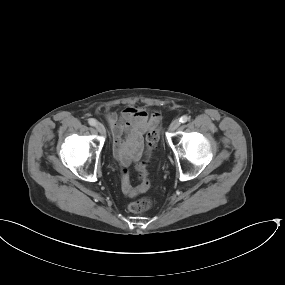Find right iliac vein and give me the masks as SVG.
<instances>
[{"label": "right iliac vein", "instance_id": "1", "mask_svg": "<svg viewBox=\"0 0 285 285\" xmlns=\"http://www.w3.org/2000/svg\"><path fill=\"white\" fill-rule=\"evenodd\" d=\"M96 129L97 131L101 134V135H104L105 134V127L103 126V124L101 123H97L96 124Z\"/></svg>", "mask_w": 285, "mask_h": 285}]
</instances>
